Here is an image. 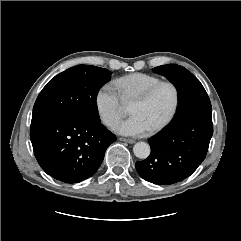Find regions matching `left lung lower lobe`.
Listing matches in <instances>:
<instances>
[{
  "label": "left lung lower lobe",
  "mask_w": 241,
  "mask_h": 241,
  "mask_svg": "<svg viewBox=\"0 0 241 241\" xmlns=\"http://www.w3.org/2000/svg\"><path fill=\"white\" fill-rule=\"evenodd\" d=\"M213 134L211 111H204L167 127L149 140L151 153L136 162L139 175L157 185L189 177L202 163Z\"/></svg>",
  "instance_id": "left-lung-lower-lobe-1"
}]
</instances>
